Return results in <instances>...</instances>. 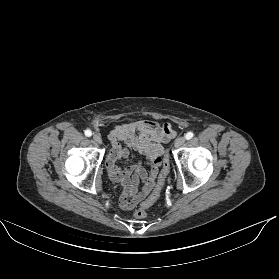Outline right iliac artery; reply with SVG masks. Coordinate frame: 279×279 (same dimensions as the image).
I'll list each match as a JSON object with an SVG mask.
<instances>
[{
    "mask_svg": "<svg viewBox=\"0 0 279 279\" xmlns=\"http://www.w3.org/2000/svg\"><path fill=\"white\" fill-rule=\"evenodd\" d=\"M85 135H86L87 137H90V136L92 135L91 130H85Z\"/></svg>",
    "mask_w": 279,
    "mask_h": 279,
    "instance_id": "82829eb1",
    "label": "right iliac artery"
}]
</instances>
